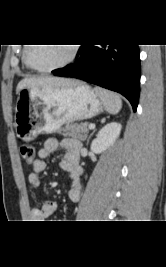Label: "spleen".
Returning a JSON list of instances; mask_svg holds the SVG:
<instances>
[{
  "instance_id": "obj_1",
  "label": "spleen",
  "mask_w": 166,
  "mask_h": 267,
  "mask_svg": "<svg viewBox=\"0 0 166 267\" xmlns=\"http://www.w3.org/2000/svg\"><path fill=\"white\" fill-rule=\"evenodd\" d=\"M96 94L102 100L105 109L111 114H117L122 108V100L121 98L113 92L95 88Z\"/></svg>"
}]
</instances>
